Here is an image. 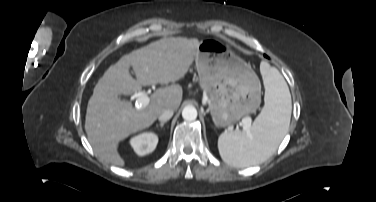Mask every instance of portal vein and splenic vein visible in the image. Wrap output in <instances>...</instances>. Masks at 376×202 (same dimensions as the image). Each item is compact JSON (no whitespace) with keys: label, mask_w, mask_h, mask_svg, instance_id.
<instances>
[{"label":"portal vein and splenic vein","mask_w":376,"mask_h":202,"mask_svg":"<svg viewBox=\"0 0 376 202\" xmlns=\"http://www.w3.org/2000/svg\"><path fill=\"white\" fill-rule=\"evenodd\" d=\"M149 101H150V98L148 97V95L145 93H141L138 96L135 105L137 108H141L142 106H147ZM250 125H251V120L249 118L243 119V128L247 133H249Z\"/></svg>","instance_id":"portal-vein-and-splenic-vein-1"}]
</instances>
